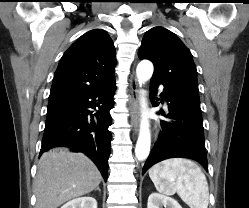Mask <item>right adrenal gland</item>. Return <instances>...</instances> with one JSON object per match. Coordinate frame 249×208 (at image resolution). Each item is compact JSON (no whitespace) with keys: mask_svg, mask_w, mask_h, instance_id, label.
Instances as JSON below:
<instances>
[{"mask_svg":"<svg viewBox=\"0 0 249 208\" xmlns=\"http://www.w3.org/2000/svg\"><path fill=\"white\" fill-rule=\"evenodd\" d=\"M95 191L101 192V189H100L99 187H97V188L95 189Z\"/></svg>","mask_w":249,"mask_h":208,"instance_id":"right-adrenal-gland-1","label":"right adrenal gland"}]
</instances>
